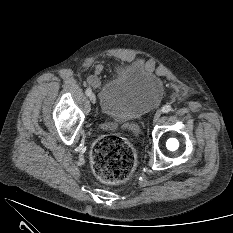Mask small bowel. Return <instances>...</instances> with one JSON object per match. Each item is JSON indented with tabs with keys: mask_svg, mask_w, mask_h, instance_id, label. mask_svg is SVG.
Returning a JSON list of instances; mask_svg holds the SVG:
<instances>
[{
	"mask_svg": "<svg viewBox=\"0 0 233 233\" xmlns=\"http://www.w3.org/2000/svg\"><path fill=\"white\" fill-rule=\"evenodd\" d=\"M101 70H102V66H101V65H97L96 71H97L98 73H100ZM88 83H89L90 85L96 87V86L98 85V83H99V78H98V76H97V75H92V76H90V77L88 78Z\"/></svg>",
	"mask_w": 233,
	"mask_h": 233,
	"instance_id": "obj_1",
	"label": "small bowel"
}]
</instances>
